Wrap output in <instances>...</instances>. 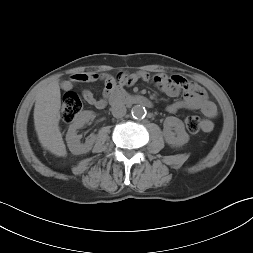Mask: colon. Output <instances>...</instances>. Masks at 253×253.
I'll return each instance as SVG.
<instances>
[{"instance_id":"obj_1","label":"colon","mask_w":253,"mask_h":253,"mask_svg":"<svg viewBox=\"0 0 253 253\" xmlns=\"http://www.w3.org/2000/svg\"><path fill=\"white\" fill-rule=\"evenodd\" d=\"M80 98L73 92H67L63 97L61 118L64 122H72L82 110ZM185 125L190 133H198L203 126V120L198 116L189 115L185 118Z\"/></svg>"}]
</instances>
